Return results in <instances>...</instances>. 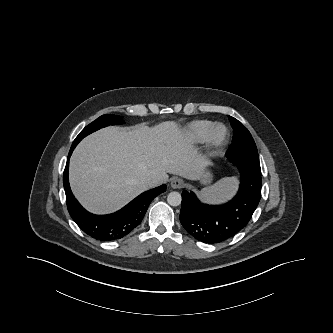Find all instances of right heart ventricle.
Returning a JSON list of instances; mask_svg holds the SVG:
<instances>
[{
    "mask_svg": "<svg viewBox=\"0 0 333 333\" xmlns=\"http://www.w3.org/2000/svg\"><path fill=\"white\" fill-rule=\"evenodd\" d=\"M212 126L211 121L195 120L187 125L186 134L193 142H203L208 138Z\"/></svg>",
    "mask_w": 333,
    "mask_h": 333,
    "instance_id": "obj_1",
    "label": "right heart ventricle"
}]
</instances>
